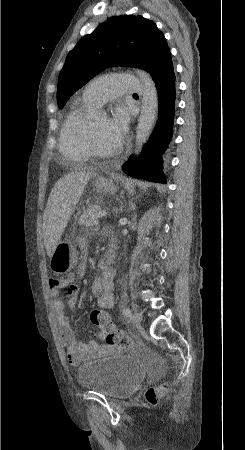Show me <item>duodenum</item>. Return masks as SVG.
Listing matches in <instances>:
<instances>
[{
    "label": "duodenum",
    "mask_w": 245,
    "mask_h": 450,
    "mask_svg": "<svg viewBox=\"0 0 245 450\" xmlns=\"http://www.w3.org/2000/svg\"><path fill=\"white\" fill-rule=\"evenodd\" d=\"M99 267H100V269H101L102 272H107V271H109L110 268H111L110 261L107 260V259L100 261Z\"/></svg>",
    "instance_id": "duodenum-1"
}]
</instances>
